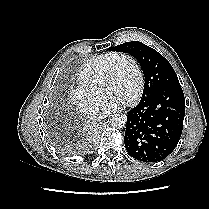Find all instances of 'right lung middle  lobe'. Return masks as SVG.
Wrapping results in <instances>:
<instances>
[{
    "label": "right lung middle lobe",
    "mask_w": 209,
    "mask_h": 209,
    "mask_svg": "<svg viewBox=\"0 0 209 209\" xmlns=\"http://www.w3.org/2000/svg\"><path fill=\"white\" fill-rule=\"evenodd\" d=\"M53 142L60 150L68 154L81 153L83 151L82 148L74 144L68 143L67 139L62 135H54Z\"/></svg>",
    "instance_id": "1"
}]
</instances>
